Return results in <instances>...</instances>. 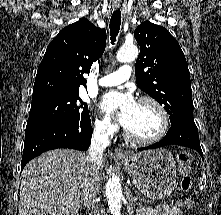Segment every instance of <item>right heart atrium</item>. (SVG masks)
I'll return each instance as SVG.
<instances>
[{"label":"right heart atrium","instance_id":"d8ad5b80","mask_svg":"<svg viewBox=\"0 0 221 215\" xmlns=\"http://www.w3.org/2000/svg\"><path fill=\"white\" fill-rule=\"evenodd\" d=\"M94 130L97 134L108 137L115 134L118 128L108 118L97 116L94 120Z\"/></svg>","mask_w":221,"mask_h":215}]
</instances>
